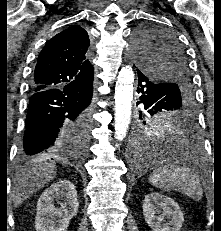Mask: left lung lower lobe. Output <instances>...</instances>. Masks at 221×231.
<instances>
[{"instance_id":"left-lung-lower-lobe-1","label":"left lung lower lobe","mask_w":221,"mask_h":231,"mask_svg":"<svg viewBox=\"0 0 221 231\" xmlns=\"http://www.w3.org/2000/svg\"><path fill=\"white\" fill-rule=\"evenodd\" d=\"M137 73L139 86L137 93L140 94L137 105L156 98L167 88L164 84L150 81L141 71L137 70ZM177 124V128L154 136L146 143H140L141 141L136 136L132 144L131 155L144 161H153L158 160L162 152L163 154L169 152L170 160L184 166L192 165L191 154L200 150L196 121L192 116H188Z\"/></svg>"}]
</instances>
